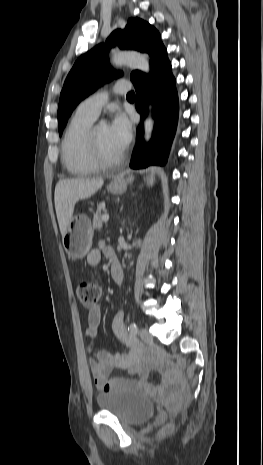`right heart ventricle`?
Masks as SVG:
<instances>
[{"instance_id": "obj_1", "label": "right heart ventricle", "mask_w": 263, "mask_h": 465, "mask_svg": "<svg viewBox=\"0 0 263 465\" xmlns=\"http://www.w3.org/2000/svg\"><path fill=\"white\" fill-rule=\"evenodd\" d=\"M94 120L76 111L66 127L61 143V158L68 172L73 175L85 176L99 170L91 161L86 146V134Z\"/></svg>"}]
</instances>
